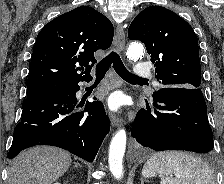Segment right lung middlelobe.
Masks as SVG:
<instances>
[{
	"label": "right lung middle lobe",
	"mask_w": 224,
	"mask_h": 184,
	"mask_svg": "<svg viewBox=\"0 0 224 184\" xmlns=\"http://www.w3.org/2000/svg\"><path fill=\"white\" fill-rule=\"evenodd\" d=\"M51 87H53V86H28V88H27V92H28L27 96L31 95V94H34V93H37L39 91L51 88Z\"/></svg>",
	"instance_id": "dd1d6c3e"
}]
</instances>
